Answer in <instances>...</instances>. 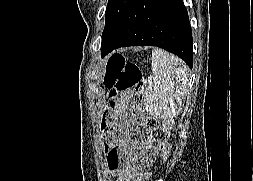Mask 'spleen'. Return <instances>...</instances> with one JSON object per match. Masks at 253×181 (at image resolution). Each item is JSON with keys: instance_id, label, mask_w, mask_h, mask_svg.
<instances>
[{"instance_id": "obj_1", "label": "spleen", "mask_w": 253, "mask_h": 181, "mask_svg": "<svg viewBox=\"0 0 253 181\" xmlns=\"http://www.w3.org/2000/svg\"><path fill=\"white\" fill-rule=\"evenodd\" d=\"M189 73L178 57L155 48L152 51V73L144 92L146 111L153 117L173 119L186 99Z\"/></svg>"}]
</instances>
